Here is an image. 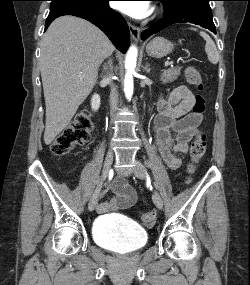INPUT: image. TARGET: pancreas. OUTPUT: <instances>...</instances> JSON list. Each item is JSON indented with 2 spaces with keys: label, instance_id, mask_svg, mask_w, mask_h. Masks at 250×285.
<instances>
[{
  "label": "pancreas",
  "instance_id": "obj_1",
  "mask_svg": "<svg viewBox=\"0 0 250 285\" xmlns=\"http://www.w3.org/2000/svg\"><path fill=\"white\" fill-rule=\"evenodd\" d=\"M180 73H181V67L169 68L161 73L160 79L163 84L170 83L177 80Z\"/></svg>",
  "mask_w": 250,
  "mask_h": 285
}]
</instances>
